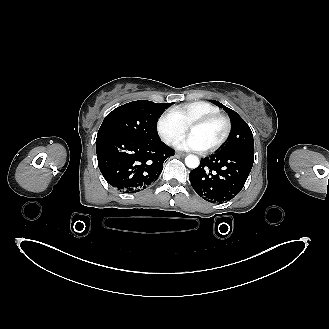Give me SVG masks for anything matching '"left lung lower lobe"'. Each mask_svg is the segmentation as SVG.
Instances as JSON below:
<instances>
[{
	"label": "left lung lower lobe",
	"mask_w": 329,
	"mask_h": 329,
	"mask_svg": "<svg viewBox=\"0 0 329 329\" xmlns=\"http://www.w3.org/2000/svg\"><path fill=\"white\" fill-rule=\"evenodd\" d=\"M254 162V153L217 152L201 159L189 179L204 200L222 203L233 199L243 188Z\"/></svg>",
	"instance_id": "obj_1"
}]
</instances>
